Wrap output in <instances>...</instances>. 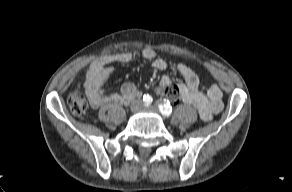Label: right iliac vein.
<instances>
[{"instance_id":"right-iliac-vein-1","label":"right iliac vein","mask_w":292,"mask_h":192,"mask_svg":"<svg viewBox=\"0 0 292 192\" xmlns=\"http://www.w3.org/2000/svg\"><path fill=\"white\" fill-rule=\"evenodd\" d=\"M141 108H142V104L139 101L134 102L131 106V110L133 112L139 111Z\"/></svg>"}]
</instances>
